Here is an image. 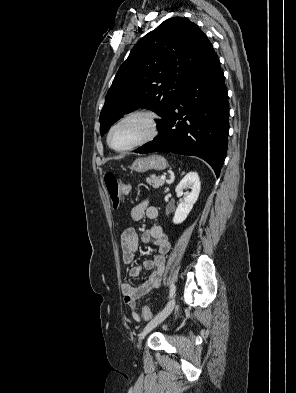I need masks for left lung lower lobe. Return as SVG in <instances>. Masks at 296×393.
<instances>
[{"instance_id": "1", "label": "left lung lower lobe", "mask_w": 296, "mask_h": 393, "mask_svg": "<svg viewBox=\"0 0 296 393\" xmlns=\"http://www.w3.org/2000/svg\"><path fill=\"white\" fill-rule=\"evenodd\" d=\"M228 119V93L214 51L177 97L158 136L135 152L197 156L218 177L227 152Z\"/></svg>"}]
</instances>
